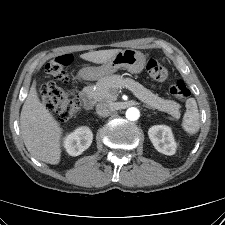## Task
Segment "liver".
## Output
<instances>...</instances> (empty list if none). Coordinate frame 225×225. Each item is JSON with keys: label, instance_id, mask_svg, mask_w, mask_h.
Masks as SVG:
<instances>
[{"label": "liver", "instance_id": "obj_1", "mask_svg": "<svg viewBox=\"0 0 225 225\" xmlns=\"http://www.w3.org/2000/svg\"><path fill=\"white\" fill-rule=\"evenodd\" d=\"M119 51L121 49L92 51L80 57L86 61L102 64ZM20 129L24 144L34 158L52 165L60 162L63 130L49 109L41 103L35 80L22 107Z\"/></svg>", "mask_w": 225, "mask_h": 225}]
</instances>
